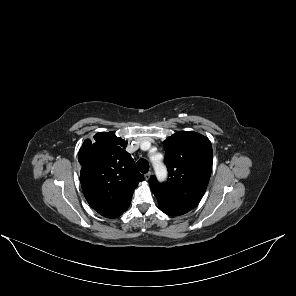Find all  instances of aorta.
I'll use <instances>...</instances> for the list:
<instances>
[{
  "instance_id": "obj_1",
  "label": "aorta",
  "mask_w": 296,
  "mask_h": 296,
  "mask_svg": "<svg viewBox=\"0 0 296 296\" xmlns=\"http://www.w3.org/2000/svg\"><path fill=\"white\" fill-rule=\"evenodd\" d=\"M153 164H154V169H155L158 177L160 179H164L166 177V169H165L164 165L161 162L154 161V160H153Z\"/></svg>"
}]
</instances>
